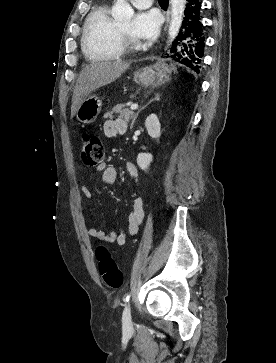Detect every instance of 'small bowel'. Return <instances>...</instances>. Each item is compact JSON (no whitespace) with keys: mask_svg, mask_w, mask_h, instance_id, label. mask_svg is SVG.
Here are the masks:
<instances>
[{"mask_svg":"<svg viewBox=\"0 0 276 363\" xmlns=\"http://www.w3.org/2000/svg\"><path fill=\"white\" fill-rule=\"evenodd\" d=\"M127 130V123L122 118L108 119L103 125V133L108 138H113L123 135ZM126 170L135 183L139 180V174L137 168L132 163L126 164ZM101 173V180L105 184H114L117 181V170L113 166L102 163L92 168L87 174L83 176L85 178L88 174ZM81 193L85 195L88 200H92V194L88 187L84 184L79 186ZM144 210L143 200L139 193L134 191L132 193V205L128 214V235L135 236L143 222ZM86 233L90 238L98 241L108 242L116 245H124L127 241V234L116 232H105L99 230L94 226H88Z\"/></svg>","mask_w":276,"mask_h":363,"instance_id":"c3829d8e","label":"small bowel"}]
</instances>
